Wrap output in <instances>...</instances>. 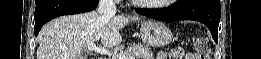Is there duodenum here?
Returning <instances> with one entry per match:
<instances>
[{
  "instance_id": "1",
  "label": "duodenum",
  "mask_w": 261,
  "mask_h": 59,
  "mask_svg": "<svg viewBox=\"0 0 261 59\" xmlns=\"http://www.w3.org/2000/svg\"><path fill=\"white\" fill-rule=\"evenodd\" d=\"M93 59H102V57H92Z\"/></svg>"
}]
</instances>
